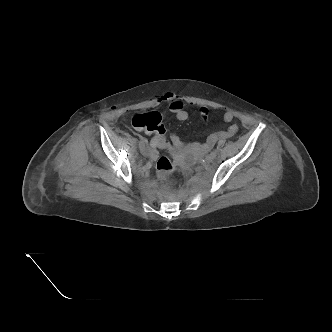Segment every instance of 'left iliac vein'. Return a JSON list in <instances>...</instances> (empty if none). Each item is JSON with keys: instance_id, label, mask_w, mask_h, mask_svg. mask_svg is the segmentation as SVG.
I'll return each instance as SVG.
<instances>
[{"instance_id": "obj_1", "label": "left iliac vein", "mask_w": 332, "mask_h": 332, "mask_svg": "<svg viewBox=\"0 0 332 332\" xmlns=\"http://www.w3.org/2000/svg\"><path fill=\"white\" fill-rule=\"evenodd\" d=\"M214 158H215L214 156H212L211 154H209V155L206 156L205 160H206V162L210 163V162H212L214 160Z\"/></svg>"}]
</instances>
